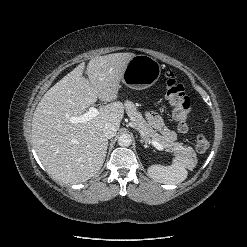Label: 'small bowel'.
<instances>
[{
	"label": "small bowel",
	"mask_w": 247,
	"mask_h": 247,
	"mask_svg": "<svg viewBox=\"0 0 247 247\" xmlns=\"http://www.w3.org/2000/svg\"><path fill=\"white\" fill-rule=\"evenodd\" d=\"M146 118L148 122L164 136L171 139L175 137V132L165 125L163 118L157 112H147Z\"/></svg>",
	"instance_id": "small-bowel-1"
}]
</instances>
